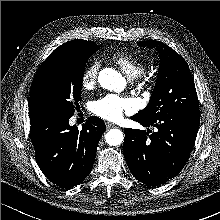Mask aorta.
<instances>
[{"mask_svg": "<svg viewBox=\"0 0 220 220\" xmlns=\"http://www.w3.org/2000/svg\"><path fill=\"white\" fill-rule=\"evenodd\" d=\"M98 81L101 87L107 90L119 91L125 86V79L121 73L112 68L103 69L99 73ZM105 139L110 146H118L123 142L124 135L119 129H110L106 133Z\"/></svg>", "mask_w": 220, "mask_h": 220, "instance_id": "obj_1", "label": "aorta"}]
</instances>
